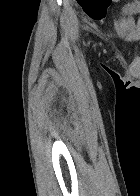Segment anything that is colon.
I'll use <instances>...</instances> for the list:
<instances>
[{"label": "colon", "mask_w": 140, "mask_h": 196, "mask_svg": "<svg viewBox=\"0 0 140 196\" xmlns=\"http://www.w3.org/2000/svg\"><path fill=\"white\" fill-rule=\"evenodd\" d=\"M78 2L83 6L85 7V2L86 0H78ZM109 2V0H104L103 3L107 4Z\"/></svg>", "instance_id": "colon-1"}]
</instances>
